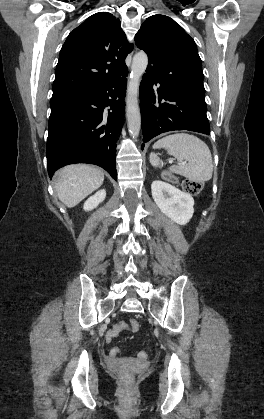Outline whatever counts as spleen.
Segmentation results:
<instances>
[{"mask_svg":"<svg viewBox=\"0 0 264 419\" xmlns=\"http://www.w3.org/2000/svg\"><path fill=\"white\" fill-rule=\"evenodd\" d=\"M153 148H165L180 161L179 164L171 166L170 171L196 182H205L212 178L211 152L200 138L187 133H176L158 140ZM150 162L153 166L159 165L157 154H150Z\"/></svg>","mask_w":264,"mask_h":419,"instance_id":"3e777b00","label":"spleen"}]
</instances>
